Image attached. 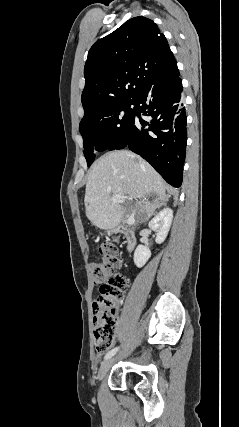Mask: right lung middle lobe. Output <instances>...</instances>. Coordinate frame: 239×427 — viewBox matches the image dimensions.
<instances>
[{"instance_id":"1","label":"right lung middle lobe","mask_w":239,"mask_h":427,"mask_svg":"<svg viewBox=\"0 0 239 427\" xmlns=\"http://www.w3.org/2000/svg\"><path fill=\"white\" fill-rule=\"evenodd\" d=\"M136 99L100 103L84 114L79 130L84 140V155L90 166L98 152L119 149L129 137Z\"/></svg>"}]
</instances>
